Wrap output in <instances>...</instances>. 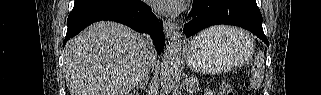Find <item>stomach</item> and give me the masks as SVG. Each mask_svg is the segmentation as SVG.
Listing matches in <instances>:
<instances>
[{
  "label": "stomach",
  "instance_id": "obj_1",
  "mask_svg": "<svg viewBox=\"0 0 321 95\" xmlns=\"http://www.w3.org/2000/svg\"><path fill=\"white\" fill-rule=\"evenodd\" d=\"M253 52L250 36L237 29L221 35L202 32L189 43L186 62L194 71L216 74L242 65Z\"/></svg>",
  "mask_w": 321,
  "mask_h": 95
}]
</instances>
